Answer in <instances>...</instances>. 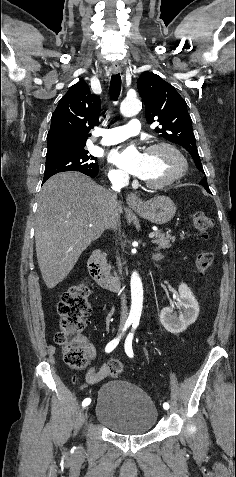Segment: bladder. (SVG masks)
Wrapping results in <instances>:
<instances>
[{"instance_id": "1", "label": "bladder", "mask_w": 236, "mask_h": 477, "mask_svg": "<svg viewBox=\"0 0 236 477\" xmlns=\"http://www.w3.org/2000/svg\"><path fill=\"white\" fill-rule=\"evenodd\" d=\"M97 421L111 432L138 436L152 431L158 410L140 387L120 379L102 384L95 400Z\"/></svg>"}]
</instances>
